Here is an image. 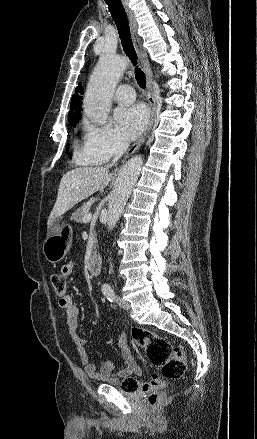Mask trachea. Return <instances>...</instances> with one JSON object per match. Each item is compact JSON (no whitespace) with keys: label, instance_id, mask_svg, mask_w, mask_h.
Returning a JSON list of instances; mask_svg holds the SVG:
<instances>
[{"label":"trachea","instance_id":"1","mask_svg":"<svg viewBox=\"0 0 257 439\" xmlns=\"http://www.w3.org/2000/svg\"><path fill=\"white\" fill-rule=\"evenodd\" d=\"M108 5L109 11L113 20L115 21L118 33L121 39L123 50L126 55L129 57L131 62L136 66L137 64V54L133 47V43L130 36V27L127 19L126 12L122 6L120 0H105ZM135 78L137 80L138 85L141 88L146 87V76L144 72L136 66L135 68Z\"/></svg>","mask_w":257,"mask_h":439}]
</instances>
